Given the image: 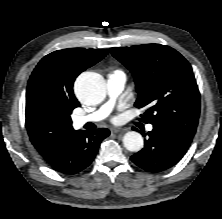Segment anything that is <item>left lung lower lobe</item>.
<instances>
[{"label":"left lung lower lobe","mask_w":222,"mask_h":219,"mask_svg":"<svg viewBox=\"0 0 222 219\" xmlns=\"http://www.w3.org/2000/svg\"><path fill=\"white\" fill-rule=\"evenodd\" d=\"M144 148L131 156L132 162L145 171L156 173L177 164L189 148L192 134L172 125H153Z\"/></svg>","instance_id":"left-lung-lower-lobe-1"}]
</instances>
